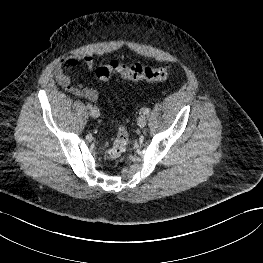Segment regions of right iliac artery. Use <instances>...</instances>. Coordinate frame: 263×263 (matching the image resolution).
<instances>
[{"mask_svg": "<svg viewBox=\"0 0 263 263\" xmlns=\"http://www.w3.org/2000/svg\"><path fill=\"white\" fill-rule=\"evenodd\" d=\"M87 108H88V109H92V105H91V104H88V105H87Z\"/></svg>", "mask_w": 263, "mask_h": 263, "instance_id": "1", "label": "right iliac artery"}]
</instances>
